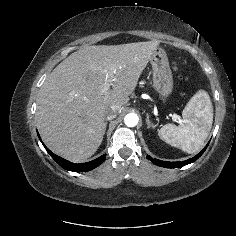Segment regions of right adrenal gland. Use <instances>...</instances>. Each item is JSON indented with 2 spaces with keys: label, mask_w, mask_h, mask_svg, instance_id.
<instances>
[{
  "label": "right adrenal gland",
  "mask_w": 236,
  "mask_h": 236,
  "mask_svg": "<svg viewBox=\"0 0 236 236\" xmlns=\"http://www.w3.org/2000/svg\"><path fill=\"white\" fill-rule=\"evenodd\" d=\"M106 126H107V122H105V129H106ZM105 133V132H104Z\"/></svg>",
  "instance_id": "obj_1"
}]
</instances>
